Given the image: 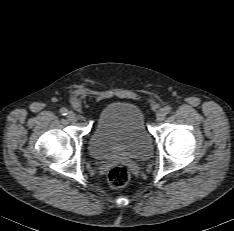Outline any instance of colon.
I'll return each instance as SVG.
<instances>
[{
    "mask_svg": "<svg viewBox=\"0 0 234 231\" xmlns=\"http://www.w3.org/2000/svg\"><path fill=\"white\" fill-rule=\"evenodd\" d=\"M130 180L129 170L124 166L114 167L108 174V182L112 188H121Z\"/></svg>",
    "mask_w": 234,
    "mask_h": 231,
    "instance_id": "1",
    "label": "colon"
}]
</instances>
